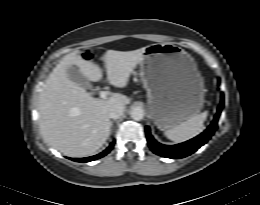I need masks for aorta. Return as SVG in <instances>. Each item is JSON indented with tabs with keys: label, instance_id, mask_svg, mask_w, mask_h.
Wrapping results in <instances>:
<instances>
[{
	"label": "aorta",
	"instance_id": "762f6f07",
	"mask_svg": "<svg viewBox=\"0 0 260 205\" xmlns=\"http://www.w3.org/2000/svg\"><path fill=\"white\" fill-rule=\"evenodd\" d=\"M130 116L135 121H140L144 117V110L142 108H140V107L133 108L130 111Z\"/></svg>",
	"mask_w": 260,
	"mask_h": 205
}]
</instances>
